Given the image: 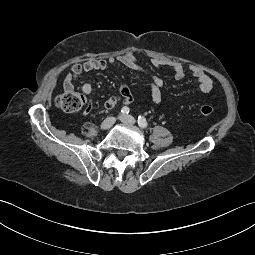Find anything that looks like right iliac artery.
Wrapping results in <instances>:
<instances>
[{
  "instance_id": "obj_1",
  "label": "right iliac artery",
  "mask_w": 255,
  "mask_h": 255,
  "mask_svg": "<svg viewBox=\"0 0 255 255\" xmlns=\"http://www.w3.org/2000/svg\"><path fill=\"white\" fill-rule=\"evenodd\" d=\"M121 113L126 115L129 113V108L127 106H124L122 109H121Z\"/></svg>"
}]
</instances>
